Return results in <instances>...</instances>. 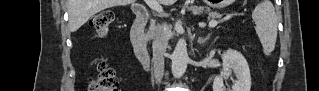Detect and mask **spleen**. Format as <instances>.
I'll return each instance as SVG.
<instances>
[{
    "label": "spleen",
    "mask_w": 319,
    "mask_h": 91,
    "mask_svg": "<svg viewBox=\"0 0 319 91\" xmlns=\"http://www.w3.org/2000/svg\"><path fill=\"white\" fill-rule=\"evenodd\" d=\"M256 33L266 56L275 48L277 40L278 17L270 0L259 3L252 12Z\"/></svg>",
    "instance_id": "spleen-1"
}]
</instances>
